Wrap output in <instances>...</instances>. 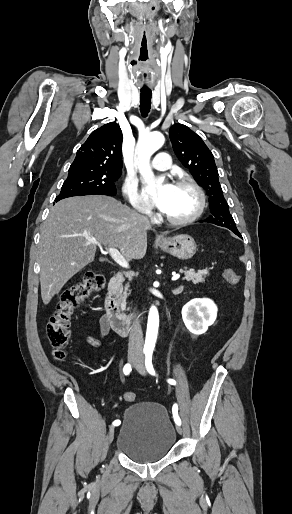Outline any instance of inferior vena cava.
Masks as SVG:
<instances>
[{
    "label": "inferior vena cava",
    "mask_w": 292,
    "mask_h": 514,
    "mask_svg": "<svg viewBox=\"0 0 292 514\" xmlns=\"http://www.w3.org/2000/svg\"><path fill=\"white\" fill-rule=\"evenodd\" d=\"M149 222L148 218H145ZM143 332L139 320L133 322L132 330L129 336L128 352L143 356Z\"/></svg>",
    "instance_id": "1"
}]
</instances>
